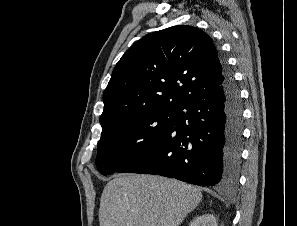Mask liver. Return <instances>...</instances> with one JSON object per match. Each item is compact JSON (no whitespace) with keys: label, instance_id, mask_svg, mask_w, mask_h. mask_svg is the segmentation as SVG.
I'll return each mask as SVG.
<instances>
[{"label":"liver","instance_id":"liver-1","mask_svg":"<svg viewBox=\"0 0 297 226\" xmlns=\"http://www.w3.org/2000/svg\"><path fill=\"white\" fill-rule=\"evenodd\" d=\"M201 191L157 175L124 174L104 187L100 226H179L201 202Z\"/></svg>","mask_w":297,"mask_h":226}]
</instances>
